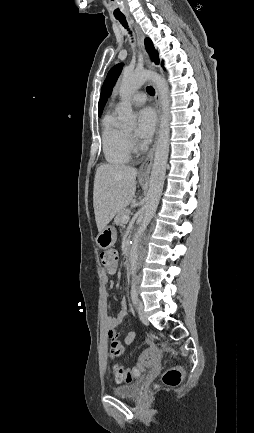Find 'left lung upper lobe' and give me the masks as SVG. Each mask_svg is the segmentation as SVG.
I'll return each mask as SVG.
<instances>
[{"label":"left lung upper lobe","mask_w":254,"mask_h":433,"mask_svg":"<svg viewBox=\"0 0 254 433\" xmlns=\"http://www.w3.org/2000/svg\"><path fill=\"white\" fill-rule=\"evenodd\" d=\"M145 46H146V50L149 53L151 59L153 61H155L156 64H159V59H158V53H156L155 48L151 42V40L149 38H147L145 40ZM123 64H118L114 67H112L110 69V71L108 72L107 78L102 86V90H101V97L99 100V115L102 113V110L104 108V105L107 101V98L110 96L111 92H112V87L114 86L120 72L122 69Z\"/></svg>","instance_id":"5c2ea615"}]
</instances>
